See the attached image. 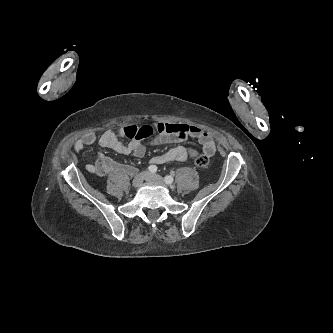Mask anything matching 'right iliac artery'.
<instances>
[{
    "instance_id": "right-iliac-artery-1",
    "label": "right iliac artery",
    "mask_w": 333,
    "mask_h": 333,
    "mask_svg": "<svg viewBox=\"0 0 333 333\" xmlns=\"http://www.w3.org/2000/svg\"><path fill=\"white\" fill-rule=\"evenodd\" d=\"M148 170L151 172V173H155L157 171V167L155 165H150L148 167Z\"/></svg>"
}]
</instances>
